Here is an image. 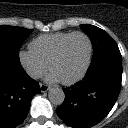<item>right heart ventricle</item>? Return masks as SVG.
Instances as JSON below:
<instances>
[{
  "label": "right heart ventricle",
  "mask_w": 128,
  "mask_h": 128,
  "mask_svg": "<svg viewBox=\"0 0 128 128\" xmlns=\"http://www.w3.org/2000/svg\"><path fill=\"white\" fill-rule=\"evenodd\" d=\"M71 33L72 32H56L43 34L33 39L29 47L48 65L60 43Z\"/></svg>",
  "instance_id": "right-heart-ventricle-1"
}]
</instances>
